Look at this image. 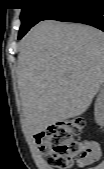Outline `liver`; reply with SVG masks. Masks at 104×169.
Segmentation results:
<instances>
[{"mask_svg": "<svg viewBox=\"0 0 104 169\" xmlns=\"http://www.w3.org/2000/svg\"><path fill=\"white\" fill-rule=\"evenodd\" d=\"M17 76L29 135L77 117L104 80V34L83 24L41 21L20 42Z\"/></svg>", "mask_w": 104, "mask_h": 169, "instance_id": "obj_1", "label": "liver"}]
</instances>
